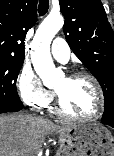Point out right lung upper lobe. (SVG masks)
<instances>
[{
  "label": "right lung upper lobe",
  "mask_w": 114,
  "mask_h": 156,
  "mask_svg": "<svg viewBox=\"0 0 114 156\" xmlns=\"http://www.w3.org/2000/svg\"><path fill=\"white\" fill-rule=\"evenodd\" d=\"M37 20V0H0V58L24 59L27 31Z\"/></svg>",
  "instance_id": "cb5924a9"
}]
</instances>
